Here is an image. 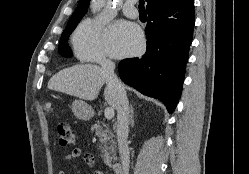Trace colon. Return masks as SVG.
I'll return each mask as SVG.
<instances>
[{"label": "colon", "instance_id": "obj_1", "mask_svg": "<svg viewBox=\"0 0 249 174\" xmlns=\"http://www.w3.org/2000/svg\"><path fill=\"white\" fill-rule=\"evenodd\" d=\"M57 135L59 144L63 147L70 146L74 143V132L68 123L62 122L57 125Z\"/></svg>", "mask_w": 249, "mask_h": 174}]
</instances>
